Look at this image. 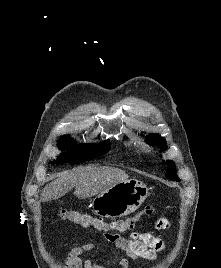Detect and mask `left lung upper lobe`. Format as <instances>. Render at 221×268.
Listing matches in <instances>:
<instances>
[{
	"mask_svg": "<svg viewBox=\"0 0 221 268\" xmlns=\"http://www.w3.org/2000/svg\"><path fill=\"white\" fill-rule=\"evenodd\" d=\"M158 138V134H150L147 137L148 143L153 144L156 139ZM157 144L160 148H165L166 147V142L163 138H159L157 141ZM166 164L168 165L167 172H166V177L170 179H174L176 181H179L180 179L178 176L175 174V163L171 160L166 161Z\"/></svg>",
	"mask_w": 221,
	"mask_h": 268,
	"instance_id": "obj_1",
	"label": "left lung upper lobe"
}]
</instances>
